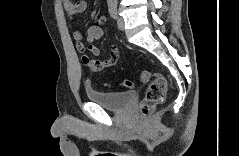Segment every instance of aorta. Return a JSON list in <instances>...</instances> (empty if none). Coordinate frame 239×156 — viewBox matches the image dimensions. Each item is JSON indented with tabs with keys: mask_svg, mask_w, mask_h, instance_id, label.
Segmentation results:
<instances>
[{
	"mask_svg": "<svg viewBox=\"0 0 239 156\" xmlns=\"http://www.w3.org/2000/svg\"><path fill=\"white\" fill-rule=\"evenodd\" d=\"M117 0H108V5H116Z\"/></svg>",
	"mask_w": 239,
	"mask_h": 156,
	"instance_id": "obj_1",
	"label": "aorta"
}]
</instances>
